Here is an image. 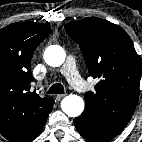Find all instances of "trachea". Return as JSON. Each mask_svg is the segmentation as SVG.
<instances>
[{
  "instance_id": "trachea-1",
  "label": "trachea",
  "mask_w": 142,
  "mask_h": 142,
  "mask_svg": "<svg viewBox=\"0 0 142 142\" xmlns=\"http://www.w3.org/2000/svg\"><path fill=\"white\" fill-rule=\"evenodd\" d=\"M48 94H63L64 93V88L62 84L56 83L53 84L49 90L47 91Z\"/></svg>"
}]
</instances>
